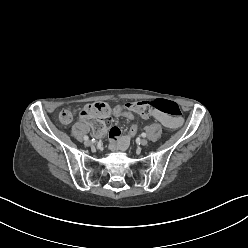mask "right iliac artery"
Listing matches in <instances>:
<instances>
[{"mask_svg":"<svg viewBox=\"0 0 248 248\" xmlns=\"http://www.w3.org/2000/svg\"><path fill=\"white\" fill-rule=\"evenodd\" d=\"M89 139V137L88 136H84V140H88Z\"/></svg>","mask_w":248,"mask_h":248,"instance_id":"obj_1","label":"right iliac artery"}]
</instances>
